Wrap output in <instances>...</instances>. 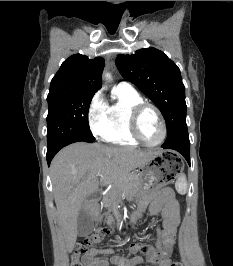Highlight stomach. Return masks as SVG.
Masks as SVG:
<instances>
[{"instance_id":"1","label":"stomach","mask_w":233,"mask_h":266,"mask_svg":"<svg viewBox=\"0 0 233 266\" xmlns=\"http://www.w3.org/2000/svg\"><path fill=\"white\" fill-rule=\"evenodd\" d=\"M181 152H172V147H161L160 152L139 168L140 189L150 190L154 185H176L180 172L184 171Z\"/></svg>"}]
</instances>
